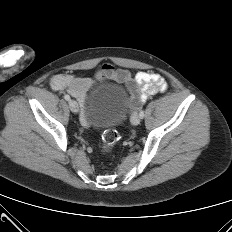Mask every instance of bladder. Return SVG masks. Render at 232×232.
<instances>
[{
  "label": "bladder",
  "instance_id": "31cf9c89",
  "mask_svg": "<svg viewBox=\"0 0 232 232\" xmlns=\"http://www.w3.org/2000/svg\"><path fill=\"white\" fill-rule=\"evenodd\" d=\"M127 93L118 84L102 83L89 95L86 112L94 126L104 127L123 121Z\"/></svg>",
  "mask_w": 232,
  "mask_h": 232
}]
</instances>
